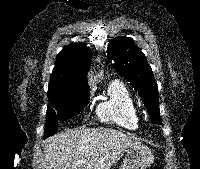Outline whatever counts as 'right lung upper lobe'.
I'll return each mask as SVG.
<instances>
[{
    "instance_id": "cb5924a9",
    "label": "right lung upper lobe",
    "mask_w": 200,
    "mask_h": 169,
    "mask_svg": "<svg viewBox=\"0 0 200 169\" xmlns=\"http://www.w3.org/2000/svg\"><path fill=\"white\" fill-rule=\"evenodd\" d=\"M91 63V52L83 44H72L57 55L48 87V99L70 97L90 92L86 73Z\"/></svg>"
}]
</instances>
